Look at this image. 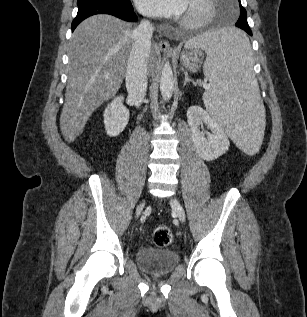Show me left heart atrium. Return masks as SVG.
Returning a JSON list of instances; mask_svg holds the SVG:
<instances>
[{
  "instance_id": "1",
  "label": "left heart atrium",
  "mask_w": 307,
  "mask_h": 317,
  "mask_svg": "<svg viewBox=\"0 0 307 317\" xmlns=\"http://www.w3.org/2000/svg\"><path fill=\"white\" fill-rule=\"evenodd\" d=\"M138 9L153 17L182 15L188 8V0H136Z\"/></svg>"
}]
</instances>
